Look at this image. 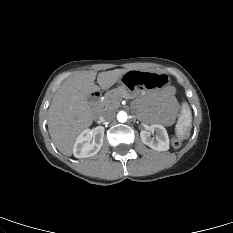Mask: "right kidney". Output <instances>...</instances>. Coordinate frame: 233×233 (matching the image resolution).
Masks as SVG:
<instances>
[{"label":"right kidney","instance_id":"ca27d5eb","mask_svg":"<svg viewBox=\"0 0 233 233\" xmlns=\"http://www.w3.org/2000/svg\"><path fill=\"white\" fill-rule=\"evenodd\" d=\"M104 138V128L97 127L94 130H84L77 137L73 154L76 158H87L96 155L102 145Z\"/></svg>","mask_w":233,"mask_h":233}]
</instances>
